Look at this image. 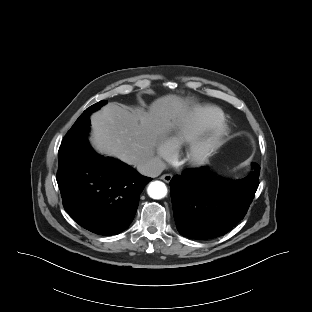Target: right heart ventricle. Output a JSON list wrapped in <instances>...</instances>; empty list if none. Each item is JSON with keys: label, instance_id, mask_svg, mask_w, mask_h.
Instances as JSON below:
<instances>
[{"label": "right heart ventricle", "instance_id": "right-heart-ventricle-1", "mask_svg": "<svg viewBox=\"0 0 312 312\" xmlns=\"http://www.w3.org/2000/svg\"><path fill=\"white\" fill-rule=\"evenodd\" d=\"M225 121L224 112L215 106H197L180 117L168 133L171 145L188 143Z\"/></svg>", "mask_w": 312, "mask_h": 312}]
</instances>
